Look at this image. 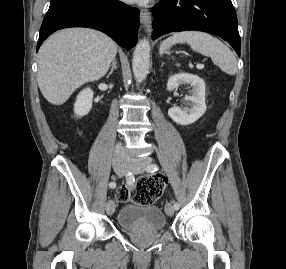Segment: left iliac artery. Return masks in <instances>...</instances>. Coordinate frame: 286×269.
Returning a JSON list of instances; mask_svg holds the SVG:
<instances>
[{
    "mask_svg": "<svg viewBox=\"0 0 286 269\" xmlns=\"http://www.w3.org/2000/svg\"><path fill=\"white\" fill-rule=\"evenodd\" d=\"M158 170V166L156 164H149L147 167H146V171L147 172H155ZM174 209L175 210H178L179 209V204L178 203H174Z\"/></svg>",
    "mask_w": 286,
    "mask_h": 269,
    "instance_id": "left-iliac-artery-1",
    "label": "left iliac artery"
}]
</instances>
